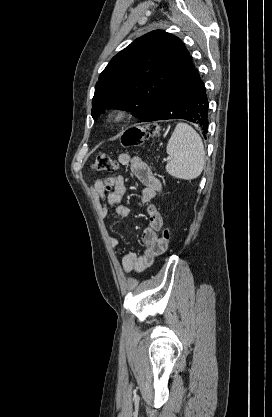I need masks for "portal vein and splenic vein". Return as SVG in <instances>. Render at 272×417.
<instances>
[{
  "label": "portal vein and splenic vein",
  "mask_w": 272,
  "mask_h": 417,
  "mask_svg": "<svg viewBox=\"0 0 272 417\" xmlns=\"http://www.w3.org/2000/svg\"><path fill=\"white\" fill-rule=\"evenodd\" d=\"M171 158L170 157H167V160H170Z\"/></svg>",
  "instance_id": "obj_1"
}]
</instances>
